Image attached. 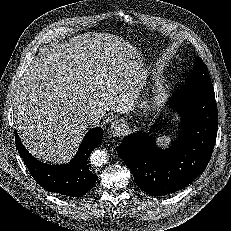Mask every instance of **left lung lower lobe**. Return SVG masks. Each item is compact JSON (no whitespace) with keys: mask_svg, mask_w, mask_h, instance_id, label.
<instances>
[{"mask_svg":"<svg viewBox=\"0 0 231 231\" xmlns=\"http://www.w3.org/2000/svg\"><path fill=\"white\" fill-rule=\"evenodd\" d=\"M182 130L168 150L155 146L146 133L126 136L116 148L137 186L152 196L179 191L206 168L215 145L218 113L213 87L185 85L170 97Z\"/></svg>","mask_w":231,"mask_h":231,"instance_id":"obj_1","label":"left lung lower lobe"}]
</instances>
